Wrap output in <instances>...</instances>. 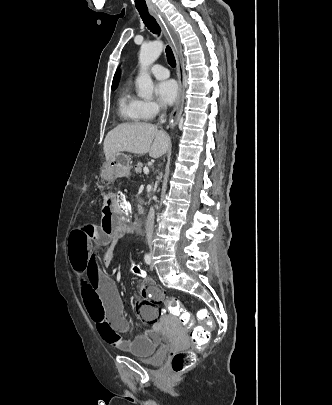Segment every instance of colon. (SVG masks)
<instances>
[{
  "label": "colon",
  "mask_w": 332,
  "mask_h": 405,
  "mask_svg": "<svg viewBox=\"0 0 332 405\" xmlns=\"http://www.w3.org/2000/svg\"><path fill=\"white\" fill-rule=\"evenodd\" d=\"M119 197L117 204L118 213L121 215V220L129 218L132 214V206L123 193H116ZM139 262L132 263V271L136 273L138 278H145L146 272L140 267ZM162 304L165 310L171 314L176 315L186 328H194L196 321L191 319L190 312L184 307L180 300L173 296L167 295L162 297ZM198 322L201 326L195 327L191 332V339L196 346H203L208 341L210 332L213 328V317L208 315L206 310H200L198 312ZM194 363V354L191 351L182 350L173 352L171 354V368L174 372H181L189 368Z\"/></svg>",
  "instance_id": "1"
}]
</instances>
